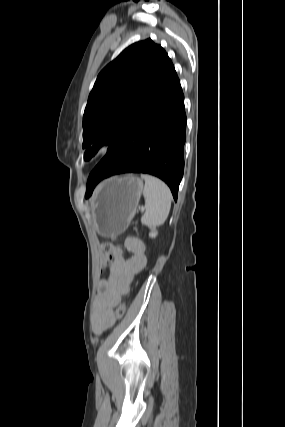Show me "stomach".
Masks as SVG:
<instances>
[{"mask_svg":"<svg viewBox=\"0 0 285 427\" xmlns=\"http://www.w3.org/2000/svg\"><path fill=\"white\" fill-rule=\"evenodd\" d=\"M143 187L142 180L132 175L113 177L99 185L91 205L99 235L115 237L125 231L136 213Z\"/></svg>","mask_w":285,"mask_h":427,"instance_id":"obj_1","label":"stomach"}]
</instances>
